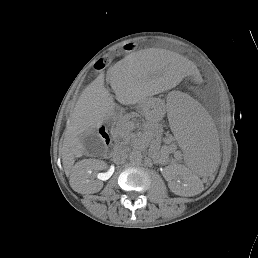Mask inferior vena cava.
<instances>
[{
    "mask_svg": "<svg viewBox=\"0 0 258 258\" xmlns=\"http://www.w3.org/2000/svg\"><path fill=\"white\" fill-rule=\"evenodd\" d=\"M126 158H127V154L123 150L115 152L114 154V161L117 163H123Z\"/></svg>",
    "mask_w": 258,
    "mask_h": 258,
    "instance_id": "602c4592",
    "label": "inferior vena cava"
}]
</instances>
